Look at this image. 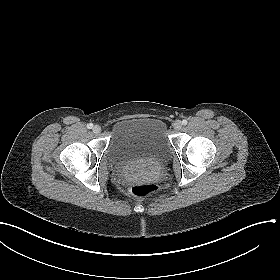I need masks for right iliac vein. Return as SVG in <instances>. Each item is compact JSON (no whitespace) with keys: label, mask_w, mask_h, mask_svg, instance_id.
I'll list each match as a JSON object with an SVG mask.
<instances>
[{"label":"right iliac vein","mask_w":280,"mask_h":280,"mask_svg":"<svg viewBox=\"0 0 280 280\" xmlns=\"http://www.w3.org/2000/svg\"><path fill=\"white\" fill-rule=\"evenodd\" d=\"M92 130L94 133L98 134L101 131V127L99 125H95Z\"/></svg>","instance_id":"1"}]
</instances>
